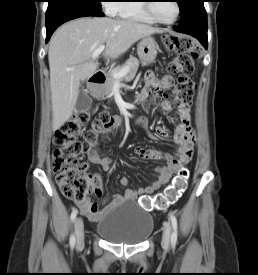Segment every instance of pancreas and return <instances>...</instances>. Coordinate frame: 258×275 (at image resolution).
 I'll return each mask as SVG.
<instances>
[{"mask_svg":"<svg viewBox=\"0 0 258 275\" xmlns=\"http://www.w3.org/2000/svg\"><path fill=\"white\" fill-rule=\"evenodd\" d=\"M125 67L129 68L128 73L125 74L123 78L116 79L114 77V73L119 72L121 69ZM138 67H139V60L137 58H130L124 63L122 67H117L112 71H110L107 75V80L104 85V94L109 95L111 93L115 81H121L122 79H125L127 81L132 80L137 73Z\"/></svg>","mask_w":258,"mask_h":275,"instance_id":"1","label":"pancreas"}]
</instances>
